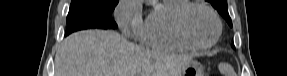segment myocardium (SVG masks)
Masks as SVG:
<instances>
[{"label":"myocardium","instance_id":"myocardium-1","mask_svg":"<svg viewBox=\"0 0 287 76\" xmlns=\"http://www.w3.org/2000/svg\"><path fill=\"white\" fill-rule=\"evenodd\" d=\"M193 8L204 9L213 17L215 21L216 28H217L216 34L213 37V39L208 43L200 44V43H196L192 41L185 30V27H184L185 17L188 14V12ZM173 24H174V30L177 36L179 37V39L191 49H197V50L209 49L217 43V41L219 40L222 34V22L218 14L210 6L204 3H201V2L188 1L183 6H181L175 13Z\"/></svg>","mask_w":287,"mask_h":76}]
</instances>
